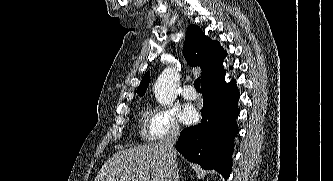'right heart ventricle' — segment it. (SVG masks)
<instances>
[{
  "label": "right heart ventricle",
  "instance_id": "1",
  "mask_svg": "<svg viewBox=\"0 0 333 181\" xmlns=\"http://www.w3.org/2000/svg\"><path fill=\"white\" fill-rule=\"evenodd\" d=\"M151 114V111L149 109H144L142 111V118L143 120H148L149 119V116ZM143 134H145V131L143 130Z\"/></svg>",
  "mask_w": 333,
  "mask_h": 181
}]
</instances>
